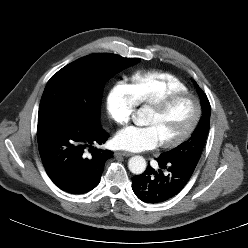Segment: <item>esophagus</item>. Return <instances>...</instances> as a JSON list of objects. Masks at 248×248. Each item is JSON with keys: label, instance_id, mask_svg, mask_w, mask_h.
I'll return each instance as SVG.
<instances>
[{"label": "esophagus", "instance_id": "34e87169", "mask_svg": "<svg viewBox=\"0 0 248 248\" xmlns=\"http://www.w3.org/2000/svg\"><path fill=\"white\" fill-rule=\"evenodd\" d=\"M115 156H125V157H129L131 156L132 154L129 153V152H126V151H116L114 153Z\"/></svg>", "mask_w": 248, "mask_h": 248}]
</instances>
